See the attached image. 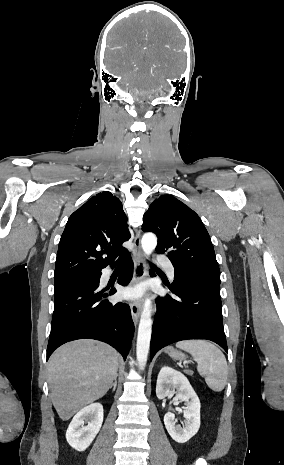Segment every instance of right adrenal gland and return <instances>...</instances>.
Returning a JSON list of instances; mask_svg holds the SVG:
<instances>
[{
    "label": "right adrenal gland",
    "instance_id": "right-adrenal-gland-1",
    "mask_svg": "<svg viewBox=\"0 0 284 465\" xmlns=\"http://www.w3.org/2000/svg\"><path fill=\"white\" fill-rule=\"evenodd\" d=\"M117 377H118V373H117V375H115L114 383H112L113 391H116V387H117ZM110 389H111V387H110Z\"/></svg>",
    "mask_w": 284,
    "mask_h": 465
}]
</instances>
